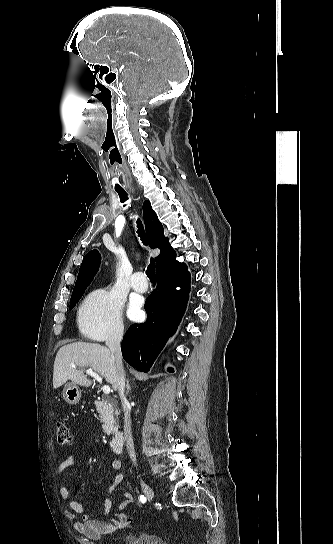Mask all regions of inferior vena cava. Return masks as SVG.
<instances>
[{
  "label": "inferior vena cava",
  "mask_w": 333,
  "mask_h": 544,
  "mask_svg": "<svg viewBox=\"0 0 333 544\" xmlns=\"http://www.w3.org/2000/svg\"><path fill=\"white\" fill-rule=\"evenodd\" d=\"M122 337H123V328H117L108 335V338L106 340V345L109 347L112 355L114 356L116 367H117V382H118L119 396H120L123 411H124V437H125L127 451L133 463L136 464V455H135L134 442H133L132 431H131L129 402L124 394L125 372L123 369L122 354H121V348H120V342L122 340Z\"/></svg>",
  "instance_id": "obj_1"
}]
</instances>
